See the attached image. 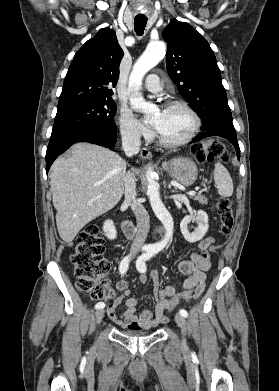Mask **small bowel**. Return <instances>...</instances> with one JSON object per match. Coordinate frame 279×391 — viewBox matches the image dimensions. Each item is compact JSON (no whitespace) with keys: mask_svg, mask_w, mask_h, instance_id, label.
Returning <instances> with one entry per match:
<instances>
[{"mask_svg":"<svg viewBox=\"0 0 279 391\" xmlns=\"http://www.w3.org/2000/svg\"><path fill=\"white\" fill-rule=\"evenodd\" d=\"M212 237H206L198 244V252L192 253L190 259L181 260L178 263L179 271L188 277L183 281L181 289L194 290L192 298L199 297L204 288L207 278L206 272L211 267L210 260H205L202 256L208 247L213 243ZM152 281L156 286L157 302L154 311L148 309L143 310L140 314L137 313L138 301L134 297H129L130 290L128 283L124 280L116 284V289L120 295L108 306L107 315L112 322L122 328L131 330H149L157 325L168 320L165 315L167 304L171 297L177 294V291L172 286H167L163 289L159 288V277L156 272L151 275ZM141 282H145L146 278L141 277ZM124 301L126 310L122 316L116 315V308Z\"/></svg>","mask_w":279,"mask_h":391,"instance_id":"1","label":"small bowel"}]
</instances>
